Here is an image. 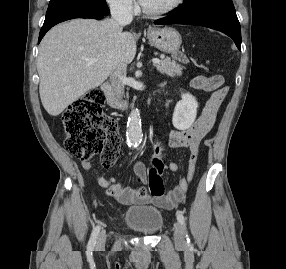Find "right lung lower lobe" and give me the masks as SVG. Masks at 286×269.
<instances>
[{
    "label": "right lung lower lobe",
    "mask_w": 286,
    "mask_h": 269,
    "mask_svg": "<svg viewBox=\"0 0 286 269\" xmlns=\"http://www.w3.org/2000/svg\"><path fill=\"white\" fill-rule=\"evenodd\" d=\"M104 16V14H100V13H95V12H89V11H77V12H72V13H68L62 16H58L55 18H52L50 20L44 21V24L40 30V34H39V39H38V43L41 41V39L44 37V35L46 34V32L52 28L54 25L66 21V20H70V19H74V18H93V19H102Z\"/></svg>",
    "instance_id": "98d812e1"
}]
</instances>
